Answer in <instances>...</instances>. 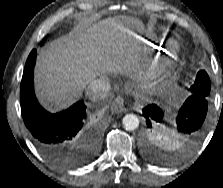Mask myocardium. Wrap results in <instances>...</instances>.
Returning <instances> with one entry per match:
<instances>
[{
    "mask_svg": "<svg viewBox=\"0 0 223 188\" xmlns=\"http://www.w3.org/2000/svg\"><path fill=\"white\" fill-rule=\"evenodd\" d=\"M179 43L177 40L171 39L167 44L166 59L160 63V65L153 70V77H158L163 72L168 71L172 66L176 65L178 60Z\"/></svg>",
    "mask_w": 223,
    "mask_h": 188,
    "instance_id": "myocardium-1",
    "label": "myocardium"
}]
</instances>
